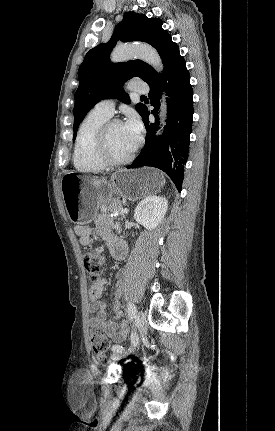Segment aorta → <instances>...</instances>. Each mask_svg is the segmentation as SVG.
<instances>
[{
  "mask_svg": "<svg viewBox=\"0 0 275 431\" xmlns=\"http://www.w3.org/2000/svg\"><path fill=\"white\" fill-rule=\"evenodd\" d=\"M133 58H140L145 61L149 65H151L158 72L163 70L162 60L158 54V52L151 46L146 44H138V45H120L117 46L112 54L111 61L112 62H123ZM167 113V106L165 102V97L161 100L160 107V131L163 129L165 125V117Z\"/></svg>",
  "mask_w": 275,
  "mask_h": 431,
  "instance_id": "obj_1",
  "label": "aorta"
}]
</instances>
